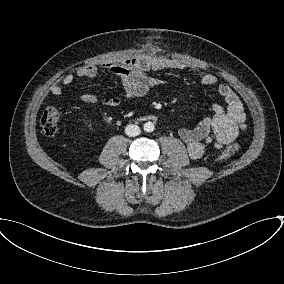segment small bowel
Masks as SVG:
<instances>
[{
	"instance_id": "1",
	"label": "small bowel",
	"mask_w": 284,
	"mask_h": 284,
	"mask_svg": "<svg viewBox=\"0 0 284 284\" xmlns=\"http://www.w3.org/2000/svg\"><path fill=\"white\" fill-rule=\"evenodd\" d=\"M179 68L178 63L149 55L106 64L104 69L107 73L121 79L124 93L120 97L107 98L103 103L105 106L115 107L123 101L142 97L150 88L164 83L161 79L149 76L148 72ZM97 72L96 66L83 65L52 85L51 93L58 97L62 94L64 87L70 85L75 79H91L97 75ZM200 81L205 86L216 87L226 106L212 104L211 114L203 118L197 126L179 130V136L186 144L187 152L192 159L202 157L210 145L216 149L226 147L247 127L243 103L229 85L219 83L218 78L211 73H202ZM80 99L85 104H94L97 102V95L94 92H86Z\"/></svg>"
}]
</instances>
